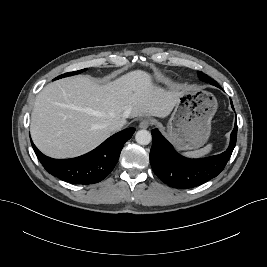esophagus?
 <instances>
[{"instance_id":"obj_1","label":"esophagus","mask_w":267,"mask_h":267,"mask_svg":"<svg viewBox=\"0 0 267 267\" xmlns=\"http://www.w3.org/2000/svg\"><path fill=\"white\" fill-rule=\"evenodd\" d=\"M151 123H152L151 119L148 118L142 119L139 123V128L147 129L151 125Z\"/></svg>"}]
</instances>
